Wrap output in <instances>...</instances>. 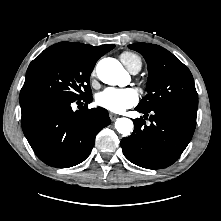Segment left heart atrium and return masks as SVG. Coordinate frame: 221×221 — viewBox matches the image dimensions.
Here are the masks:
<instances>
[{
    "instance_id": "39dd6f15",
    "label": "left heart atrium",
    "mask_w": 221,
    "mask_h": 221,
    "mask_svg": "<svg viewBox=\"0 0 221 221\" xmlns=\"http://www.w3.org/2000/svg\"><path fill=\"white\" fill-rule=\"evenodd\" d=\"M138 93L133 88H108L97 94V104L114 113H121L138 102Z\"/></svg>"
}]
</instances>
